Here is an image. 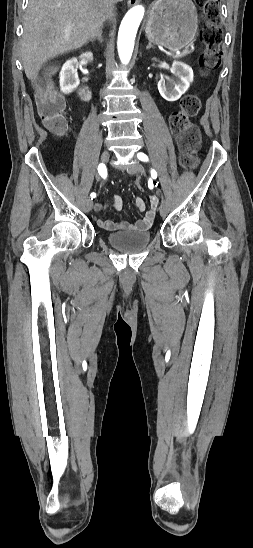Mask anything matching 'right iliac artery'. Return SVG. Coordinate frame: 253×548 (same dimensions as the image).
<instances>
[{"label": "right iliac artery", "instance_id": "1", "mask_svg": "<svg viewBox=\"0 0 253 548\" xmlns=\"http://www.w3.org/2000/svg\"><path fill=\"white\" fill-rule=\"evenodd\" d=\"M98 173L100 174L101 177H103L104 179L107 177V169H106V166L104 164H100L98 166ZM91 200H93V198L96 197V193H91Z\"/></svg>", "mask_w": 253, "mask_h": 548}]
</instances>
